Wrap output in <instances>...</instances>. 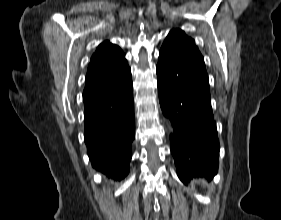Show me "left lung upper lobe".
Instances as JSON below:
<instances>
[{
  "mask_svg": "<svg viewBox=\"0 0 281 220\" xmlns=\"http://www.w3.org/2000/svg\"><path fill=\"white\" fill-rule=\"evenodd\" d=\"M160 53H185L191 57H195L201 61H204L203 56L195 46L194 40L188 37L184 31L180 29H173L170 31L162 45Z\"/></svg>",
  "mask_w": 281,
  "mask_h": 220,
  "instance_id": "5c2ea615",
  "label": "left lung upper lobe"
}]
</instances>
